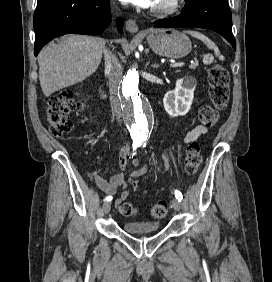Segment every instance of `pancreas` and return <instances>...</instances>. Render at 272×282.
Returning <instances> with one entry per match:
<instances>
[{"mask_svg": "<svg viewBox=\"0 0 272 282\" xmlns=\"http://www.w3.org/2000/svg\"><path fill=\"white\" fill-rule=\"evenodd\" d=\"M198 66V61H195L193 64H191L189 67L191 69H196V67Z\"/></svg>", "mask_w": 272, "mask_h": 282, "instance_id": "1", "label": "pancreas"}]
</instances>
